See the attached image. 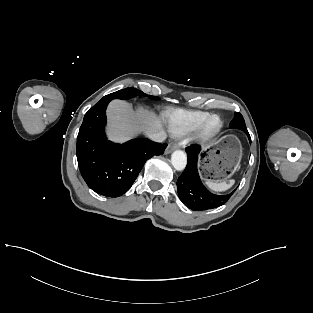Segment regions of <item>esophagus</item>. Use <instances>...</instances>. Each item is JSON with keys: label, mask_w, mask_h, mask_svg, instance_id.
Returning <instances> with one entry per match:
<instances>
[{"label": "esophagus", "mask_w": 313, "mask_h": 313, "mask_svg": "<svg viewBox=\"0 0 313 313\" xmlns=\"http://www.w3.org/2000/svg\"><path fill=\"white\" fill-rule=\"evenodd\" d=\"M179 147V144L176 142H172L168 145L167 149H166V154L171 153L173 150L177 149Z\"/></svg>", "instance_id": "1"}]
</instances>
